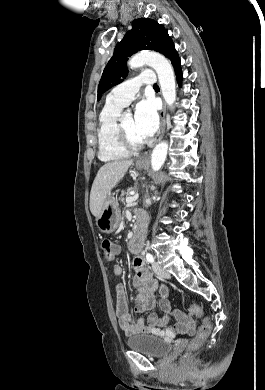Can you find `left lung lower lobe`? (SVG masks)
<instances>
[{
	"label": "left lung lower lobe",
	"mask_w": 265,
	"mask_h": 390,
	"mask_svg": "<svg viewBox=\"0 0 265 390\" xmlns=\"http://www.w3.org/2000/svg\"><path fill=\"white\" fill-rule=\"evenodd\" d=\"M171 63H172L174 70H175L177 82H178L179 86H181L182 71H181L180 58H179L178 54L174 57V59L171 61Z\"/></svg>",
	"instance_id": "left-lung-lower-lobe-1"
}]
</instances>
